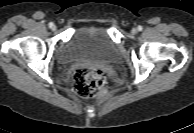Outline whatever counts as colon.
Returning <instances> with one entry per match:
<instances>
[{"mask_svg": "<svg viewBox=\"0 0 194 133\" xmlns=\"http://www.w3.org/2000/svg\"><path fill=\"white\" fill-rule=\"evenodd\" d=\"M73 90L82 97L103 96L107 93L106 77L102 70L79 67L73 72Z\"/></svg>", "mask_w": 194, "mask_h": 133, "instance_id": "1", "label": "colon"}]
</instances>
